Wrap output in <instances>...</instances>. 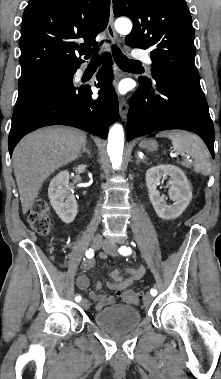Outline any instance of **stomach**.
Instances as JSON below:
<instances>
[{"mask_svg":"<svg viewBox=\"0 0 221 379\" xmlns=\"http://www.w3.org/2000/svg\"><path fill=\"white\" fill-rule=\"evenodd\" d=\"M139 146L148 151H154L158 148V144L154 140H143L140 142Z\"/></svg>","mask_w":221,"mask_h":379,"instance_id":"0dacf381","label":"stomach"}]
</instances>
